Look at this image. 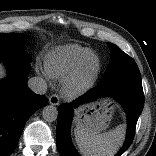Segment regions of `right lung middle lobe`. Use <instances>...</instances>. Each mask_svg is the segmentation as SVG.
I'll list each match as a JSON object with an SVG mask.
<instances>
[{"mask_svg":"<svg viewBox=\"0 0 156 156\" xmlns=\"http://www.w3.org/2000/svg\"><path fill=\"white\" fill-rule=\"evenodd\" d=\"M22 34H0V60H20L30 62L22 45Z\"/></svg>","mask_w":156,"mask_h":156,"instance_id":"1","label":"right lung middle lobe"}]
</instances>
